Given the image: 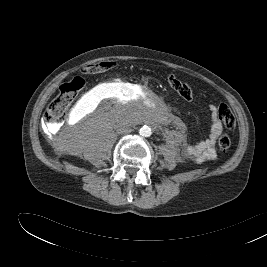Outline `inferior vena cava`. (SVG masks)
<instances>
[{"instance_id": "inferior-vena-cava-1", "label": "inferior vena cava", "mask_w": 267, "mask_h": 267, "mask_svg": "<svg viewBox=\"0 0 267 267\" xmlns=\"http://www.w3.org/2000/svg\"><path fill=\"white\" fill-rule=\"evenodd\" d=\"M122 133L124 132V133H129L131 130H128V129H122V130H120Z\"/></svg>"}]
</instances>
